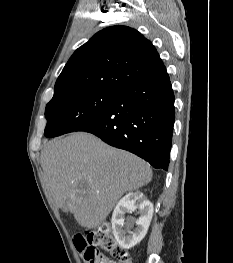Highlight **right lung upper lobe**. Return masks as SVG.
<instances>
[{
  "mask_svg": "<svg viewBox=\"0 0 233 263\" xmlns=\"http://www.w3.org/2000/svg\"><path fill=\"white\" fill-rule=\"evenodd\" d=\"M164 72L156 48L142 34L126 26L108 27L74 52L54 96L86 89L118 92Z\"/></svg>",
  "mask_w": 233,
  "mask_h": 263,
  "instance_id": "right-lung-upper-lobe-1",
  "label": "right lung upper lobe"
}]
</instances>
